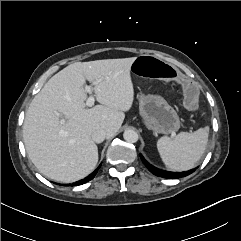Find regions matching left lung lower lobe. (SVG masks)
<instances>
[{
	"label": "left lung lower lobe",
	"mask_w": 241,
	"mask_h": 241,
	"mask_svg": "<svg viewBox=\"0 0 241 241\" xmlns=\"http://www.w3.org/2000/svg\"><path fill=\"white\" fill-rule=\"evenodd\" d=\"M140 157H141V160L144 163V165L148 168V170L151 173H153L154 175L159 176V177L177 179V178H180V177L188 176L189 174H191L192 172L195 171V169H192V170L187 171V172L164 171V170L158 169V168L152 166L151 164H149L141 154H140Z\"/></svg>",
	"instance_id": "left-lung-lower-lobe-1"
}]
</instances>
